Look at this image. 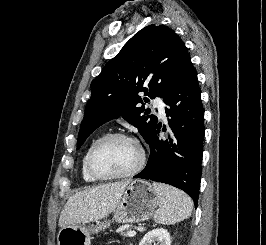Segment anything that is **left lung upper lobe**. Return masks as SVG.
Wrapping results in <instances>:
<instances>
[{"label":"left lung upper lobe","mask_w":266,"mask_h":245,"mask_svg":"<svg viewBox=\"0 0 266 245\" xmlns=\"http://www.w3.org/2000/svg\"><path fill=\"white\" fill-rule=\"evenodd\" d=\"M189 57L184 42L171 28L150 25L141 29L92 81L77 149L96 128L120 115L148 141L157 117L148 115L144 102L149 99L138 93L143 91L151 99L163 97Z\"/></svg>","instance_id":"1"}]
</instances>
